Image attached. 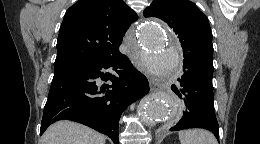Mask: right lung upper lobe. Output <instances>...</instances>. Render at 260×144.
<instances>
[{
	"mask_svg": "<svg viewBox=\"0 0 260 144\" xmlns=\"http://www.w3.org/2000/svg\"><path fill=\"white\" fill-rule=\"evenodd\" d=\"M137 14L123 0H79L65 13L54 71L115 55Z\"/></svg>",
	"mask_w": 260,
	"mask_h": 144,
	"instance_id": "1",
	"label": "right lung upper lobe"
}]
</instances>
